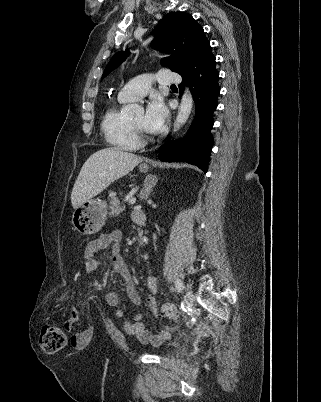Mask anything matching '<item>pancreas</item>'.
<instances>
[{"label":"pancreas","mask_w":321,"mask_h":402,"mask_svg":"<svg viewBox=\"0 0 321 402\" xmlns=\"http://www.w3.org/2000/svg\"><path fill=\"white\" fill-rule=\"evenodd\" d=\"M110 210V217H118L125 210V206L120 204V201L116 197H112L110 200Z\"/></svg>","instance_id":"obj_1"}]
</instances>
